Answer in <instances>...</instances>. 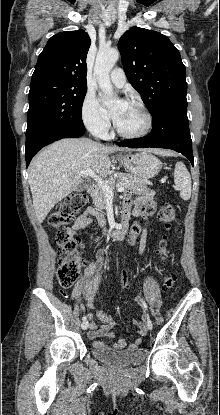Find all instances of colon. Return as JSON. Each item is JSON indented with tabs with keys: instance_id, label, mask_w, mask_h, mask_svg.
I'll return each instance as SVG.
<instances>
[{
	"instance_id": "1",
	"label": "colon",
	"mask_w": 220,
	"mask_h": 415,
	"mask_svg": "<svg viewBox=\"0 0 220 415\" xmlns=\"http://www.w3.org/2000/svg\"><path fill=\"white\" fill-rule=\"evenodd\" d=\"M87 203L84 193H75L66 198L59 206L48 215V225L55 231L57 251L60 256L57 279L62 288H69L79 278L82 267L80 250L82 244L78 238L71 234L68 229L75 216ZM154 207L147 205L144 209L146 216L154 214ZM158 219L166 229H170L176 220V210L172 204L165 203L158 212ZM160 257L164 261L167 257L166 243L160 244ZM176 281L174 275H165L162 285L165 290L171 289Z\"/></svg>"
}]
</instances>
